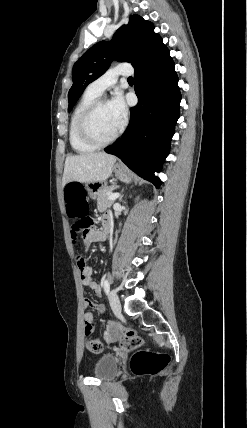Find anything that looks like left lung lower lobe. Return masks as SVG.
Segmentation results:
<instances>
[{"instance_id": "1", "label": "left lung lower lobe", "mask_w": 247, "mask_h": 428, "mask_svg": "<svg viewBox=\"0 0 247 428\" xmlns=\"http://www.w3.org/2000/svg\"><path fill=\"white\" fill-rule=\"evenodd\" d=\"M174 67L166 48L135 69L138 104L130 109V123L122 137L105 148L156 188L160 179L154 173L169 154L180 116L181 93Z\"/></svg>"}]
</instances>
